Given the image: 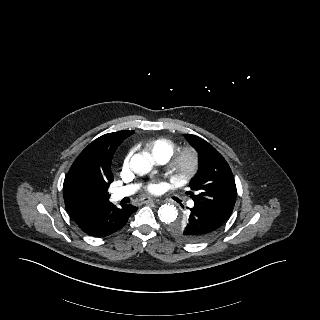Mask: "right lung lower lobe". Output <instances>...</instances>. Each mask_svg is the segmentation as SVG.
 Here are the masks:
<instances>
[{
	"mask_svg": "<svg viewBox=\"0 0 320 320\" xmlns=\"http://www.w3.org/2000/svg\"><path fill=\"white\" fill-rule=\"evenodd\" d=\"M138 207L130 204L117 208L108 200L69 211L79 228L93 237H106L120 230Z\"/></svg>",
	"mask_w": 320,
	"mask_h": 320,
	"instance_id": "1",
	"label": "right lung lower lobe"
}]
</instances>
